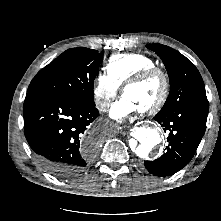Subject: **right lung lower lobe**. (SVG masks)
Wrapping results in <instances>:
<instances>
[{
	"label": "right lung lower lobe",
	"mask_w": 221,
	"mask_h": 221,
	"mask_svg": "<svg viewBox=\"0 0 221 221\" xmlns=\"http://www.w3.org/2000/svg\"><path fill=\"white\" fill-rule=\"evenodd\" d=\"M98 115L95 106L44 90L28 91L24 133L40 166L63 180L82 174L91 162L95 141L84 145L81 138Z\"/></svg>",
	"instance_id": "right-lung-lower-lobe-1"
}]
</instances>
